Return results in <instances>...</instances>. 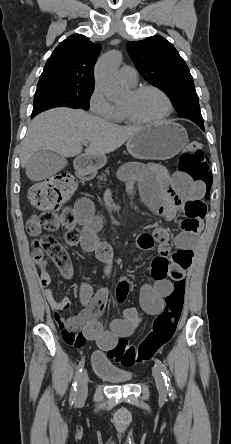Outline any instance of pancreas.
I'll list each match as a JSON object with an SVG mask.
<instances>
[{"label":"pancreas","instance_id":"obj_1","mask_svg":"<svg viewBox=\"0 0 231 444\" xmlns=\"http://www.w3.org/2000/svg\"><path fill=\"white\" fill-rule=\"evenodd\" d=\"M107 174L109 175V170H108V169H106L105 172L102 173V175H101V180H105Z\"/></svg>","mask_w":231,"mask_h":444}]
</instances>
